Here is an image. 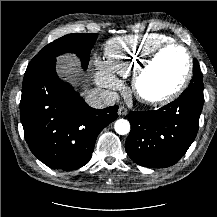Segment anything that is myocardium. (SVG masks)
Segmentation results:
<instances>
[{"label":"myocardium","instance_id":"f54148a6","mask_svg":"<svg viewBox=\"0 0 217 217\" xmlns=\"http://www.w3.org/2000/svg\"><path fill=\"white\" fill-rule=\"evenodd\" d=\"M174 48L181 49L185 53L187 58L188 66L183 79L174 90H172L171 92L165 95L158 96V97H148L143 95L140 90V84L143 77L146 75V73L149 71V69L153 66V64L156 62V60L163 52ZM192 77H193V57L189 49L180 43L168 42L157 47L147 56L145 60L141 62V64L138 66V68L136 69L132 77V90L136 98L144 104L150 106L165 105L167 103L176 100L184 93Z\"/></svg>","mask_w":217,"mask_h":217}]
</instances>
